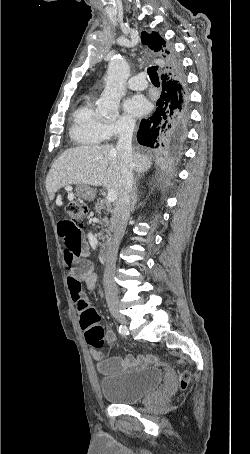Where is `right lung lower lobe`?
I'll return each instance as SVG.
<instances>
[{
  "instance_id": "1",
  "label": "right lung lower lobe",
  "mask_w": 250,
  "mask_h": 454,
  "mask_svg": "<svg viewBox=\"0 0 250 454\" xmlns=\"http://www.w3.org/2000/svg\"><path fill=\"white\" fill-rule=\"evenodd\" d=\"M171 69L161 75L162 93L155 112L143 119L137 133L138 142L149 147L178 146L188 122V98L181 63L168 46Z\"/></svg>"
}]
</instances>
